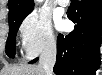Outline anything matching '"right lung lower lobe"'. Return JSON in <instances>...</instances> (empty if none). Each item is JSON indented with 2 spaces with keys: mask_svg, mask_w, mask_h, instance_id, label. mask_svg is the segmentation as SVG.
Instances as JSON below:
<instances>
[{
  "mask_svg": "<svg viewBox=\"0 0 102 75\" xmlns=\"http://www.w3.org/2000/svg\"><path fill=\"white\" fill-rule=\"evenodd\" d=\"M67 17L74 30L57 39L56 75H94L100 62L101 0H72ZM34 59L30 63L36 62Z\"/></svg>",
  "mask_w": 102,
  "mask_h": 75,
  "instance_id": "right-lung-lower-lobe-1",
  "label": "right lung lower lobe"
}]
</instances>
